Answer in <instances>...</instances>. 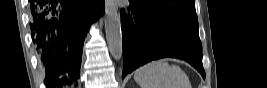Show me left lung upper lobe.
Segmentation results:
<instances>
[{
  "label": "left lung upper lobe",
  "mask_w": 267,
  "mask_h": 88,
  "mask_svg": "<svg viewBox=\"0 0 267 88\" xmlns=\"http://www.w3.org/2000/svg\"><path fill=\"white\" fill-rule=\"evenodd\" d=\"M143 17L198 26L194 0H129Z\"/></svg>",
  "instance_id": "5c2ea615"
}]
</instances>
